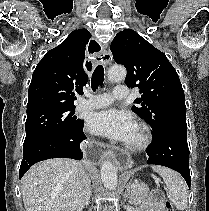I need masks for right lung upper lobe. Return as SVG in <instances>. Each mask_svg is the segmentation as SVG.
Wrapping results in <instances>:
<instances>
[{
  "label": "right lung upper lobe",
  "mask_w": 209,
  "mask_h": 211,
  "mask_svg": "<svg viewBox=\"0 0 209 211\" xmlns=\"http://www.w3.org/2000/svg\"><path fill=\"white\" fill-rule=\"evenodd\" d=\"M86 29L72 31L57 47L48 51L36 66L28 91L27 112L43 108H74L75 93L88 81L91 62L86 61Z\"/></svg>",
  "instance_id": "cb5924a9"
}]
</instances>
